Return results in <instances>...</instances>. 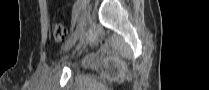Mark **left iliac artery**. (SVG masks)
Masks as SVG:
<instances>
[{"instance_id": "obj_1", "label": "left iliac artery", "mask_w": 209, "mask_h": 90, "mask_svg": "<svg viewBox=\"0 0 209 90\" xmlns=\"http://www.w3.org/2000/svg\"><path fill=\"white\" fill-rule=\"evenodd\" d=\"M84 1L83 0H77V2L74 5V9H73V22H72V27L71 30L75 29V22L76 19H79V17L82 16L81 10H82V5H83Z\"/></svg>"}]
</instances>
